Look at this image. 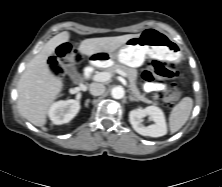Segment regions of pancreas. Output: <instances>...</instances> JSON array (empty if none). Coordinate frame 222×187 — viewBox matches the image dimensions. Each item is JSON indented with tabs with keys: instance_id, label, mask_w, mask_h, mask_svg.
<instances>
[{
	"instance_id": "pancreas-1",
	"label": "pancreas",
	"mask_w": 222,
	"mask_h": 187,
	"mask_svg": "<svg viewBox=\"0 0 222 187\" xmlns=\"http://www.w3.org/2000/svg\"><path fill=\"white\" fill-rule=\"evenodd\" d=\"M118 70H121L126 73L127 78L130 82V89L138 101H143L148 104H155L151 100L147 99L144 95H142L139 89L137 88L136 86L137 70L136 69L129 68L121 64H114L111 67L107 68V72L111 74L116 73Z\"/></svg>"
}]
</instances>
